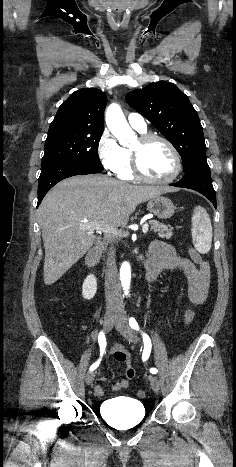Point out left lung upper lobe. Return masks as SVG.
Segmentation results:
<instances>
[{
	"label": "left lung upper lobe",
	"instance_id": "left-lung-upper-lobe-1",
	"mask_svg": "<svg viewBox=\"0 0 236 467\" xmlns=\"http://www.w3.org/2000/svg\"><path fill=\"white\" fill-rule=\"evenodd\" d=\"M127 103L147 118L179 152L184 172L207 163L203 129L188 97L173 83L159 81L126 95Z\"/></svg>",
	"mask_w": 236,
	"mask_h": 467
}]
</instances>
